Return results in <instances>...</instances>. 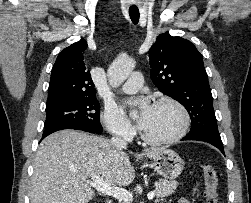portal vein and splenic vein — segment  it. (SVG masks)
<instances>
[{"label":"portal vein and splenic vein","instance_id":"1","mask_svg":"<svg viewBox=\"0 0 251 203\" xmlns=\"http://www.w3.org/2000/svg\"><path fill=\"white\" fill-rule=\"evenodd\" d=\"M91 180L89 181L90 185L102 194L110 195L117 198L120 201L130 202L133 199V196L130 192L123 188L113 187L106 182H104L99 175L90 176ZM155 196V192L152 191L148 193L147 197L149 200H152Z\"/></svg>","mask_w":251,"mask_h":203}]
</instances>
